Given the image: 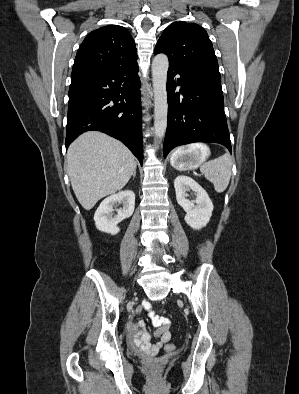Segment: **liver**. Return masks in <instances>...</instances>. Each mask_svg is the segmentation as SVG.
Segmentation results:
<instances>
[{"mask_svg": "<svg viewBox=\"0 0 299 394\" xmlns=\"http://www.w3.org/2000/svg\"><path fill=\"white\" fill-rule=\"evenodd\" d=\"M135 168L134 156L123 143L97 131L80 135L67 152L71 185L86 210L101 198L120 191Z\"/></svg>", "mask_w": 299, "mask_h": 394, "instance_id": "1", "label": "liver"}]
</instances>
